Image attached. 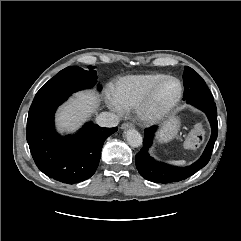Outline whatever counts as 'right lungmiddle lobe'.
Wrapping results in <instances>:
<instances>
[{"label":"right lung middle lobe","instance_id":"obj_1","mask_svg":"<svg viewBox=\"0 0 241 241\" xmlns=\"http://www.w3.org/2000/svg\"><path fill=\"white\" fill-rule=\"evenodd\" d=\"M96 77L94 66H89V70H84L78 66L67 67L37 92L33 102L68 96L76 91L91 88L96 84ZM98 89L101 90V86H98Z\"/></svg>","mask_w":241,"mask_h":241}]
</instances>
